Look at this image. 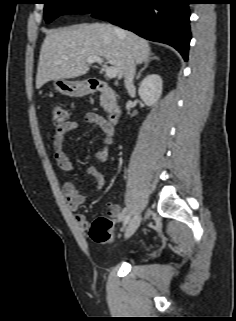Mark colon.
I'll list each match as a JSON object with an SVG mask.
<instances>
[{
  "label": "colon",
  "instance_id": "colon-1",
  "mask_svg": "<svg viewBox=\"0 0 236 321\" xmlns=\"http://www.w3.org/2000/svg\"><path fill=\"white\" fill-rule=\"evenodd\" d=\"M53 123L61 126L68 121L67 111L61 106H54L52 109ZM113 222L106 217L96 218L89 226L88 233L90 238L97 243H107L114 238L112 231Z\"/></svg>",
  "mask_w": 236,
  "mask_h": 321
}]
</instances>
